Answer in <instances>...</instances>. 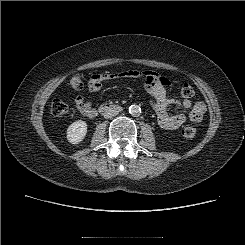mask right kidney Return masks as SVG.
Listing matches in <instances>:
<instances>
[{
    "label": "right kidney",
    "instance_id": "1",
    "mask_svg": "<svg viewBox=\"0 0 245 245\" xmlns=\"http://www.w3.org/2000/svg\"><path fill=\"white\" fill-rule=\"evenodd\" d=\"M87 134V123L82 120H78L73 122L67 128V140L71 144H78L80 143Z\"/></svg>",
    "mask_w": 245,
    "mask_h": 245
}]
</instances>
